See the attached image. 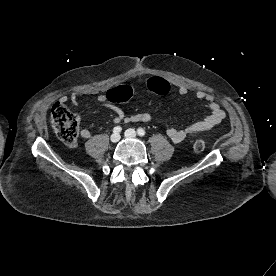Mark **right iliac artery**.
I'll return each mask as SVG.
<instances>
[{"label":"right iliac artery","instance_id":"1","mask_svg":"<svg viewBox=\"0 0 276 276\" xmlns=\"http://www.w3.org/2000/svg\"><path fill=\"white\" fill-rule=\"evenodd\" d=\"M121 130H122V128L120 126H116V127H114L113 132L114 133H120Z\"/></svg>","mask_w":276,"mask_h":276}]
</instances>
